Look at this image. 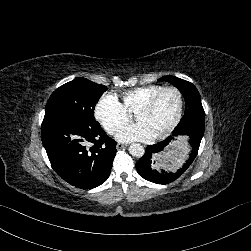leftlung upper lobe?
I'll use <instances>...</instances> for the list:
<instances>
[{
    "mask_svg": "<svg viewBox=\"0 0 251 251\" xmlns=\"http://www.w3.org/2000/svg\"><path fill=\"white\" fill-rule=\"evenodd\" d=\"M158 81H167L177 87L185 98V114L177 127L205 128V113L201 104V98L196 87L183 79L175 76H164Z\"/></svg>",
    "mask_w": 251,
    "mask_h": 251,
    "instance_id": "obj_1",
    "label": "left lung upper lobe"
}]
</instances>
